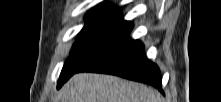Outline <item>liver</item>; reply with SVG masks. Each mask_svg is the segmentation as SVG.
Returning a JSON list of instances; mask_svg holds the SVG:
<instances>
[{
  "mask_svg": "<svg viewBox=\"0 0 221 102\" xmlns=\"http://www.w3.org/2000/svg\"><path fill=\"white\" fill-rule=\"evenodd\" d=\"M62 102H161L158 91L116 76L79 73L62 88Z\"/></svg>",
  "mask_w": 221,
  "mask_h": 102,
  "instance_id": "6515ba94",
  "label": "liver"
}]
</instances>
